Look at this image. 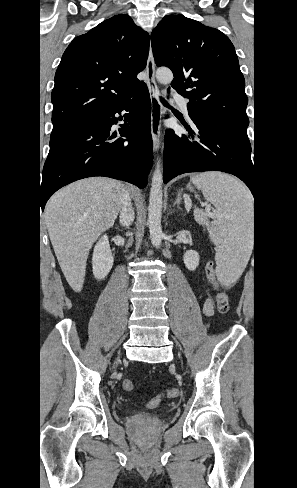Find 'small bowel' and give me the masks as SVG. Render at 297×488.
Segmentation results:
<instances>
[{
	"instance_id": "c3829d8e",
	"label": "small bowel",
	"mask_w": 297,
	"mask_h": 488,
	"mask_svg": "<svg viewBox=\"0 0 297 488\" xmlns=\"http://www.w3.org/2000/svg\"><path fill=\"white\" fill-rule=\"evenodd\" d=\"M203 313L205 316H212L214 313V303L211 297H207L203 301Z\"/></svg>"
}]
</instances>
